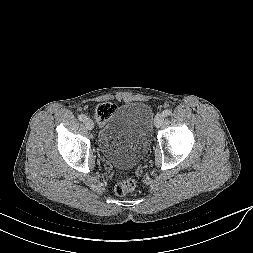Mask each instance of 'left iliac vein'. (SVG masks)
<instances>
[{"label":"left iliac vein","mask_w":253,"mask_h":253,"mask_svg":"<svg viewBox=\"0 0 253 253\" xmlns=\"http://www.w3.org/2000/svg\"><path fill=\"white\" fill-rule=\"evenodd\" d=\"M164 117L165 116L163 115V113H159L156 115L155 120H154V124L156 127H160L162 125L164 121Z\"/></svg>","instance_id":"obj_1"}]
</instances>
